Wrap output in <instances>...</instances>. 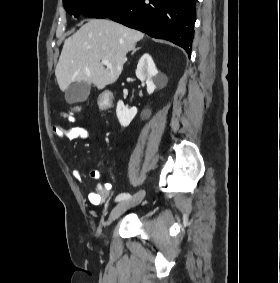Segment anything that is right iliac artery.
<instances>
[{"label":"right iliac artery","instance_id":"82829eb1","mask_svg":"<svg viewBox=\"0 0 280 283\" xmlns=\"http://www.w3.org/2000/svg\"><path fill=\"white\" fill-rule=\"evenodd\" d=\"M130 197L131 195L129 193H121L116 197L115 201L117 202L123 201V200L129 199Z\"/></svg>","mask_w":280,"mask_h":283}]
</instances>
